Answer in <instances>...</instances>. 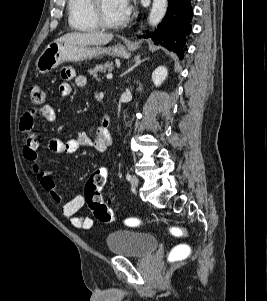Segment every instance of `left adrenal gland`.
I'll return each instance as SVG.
<instances>
[{"mask_svg":"<svg viewBox=\"0 0 267 301\" xmlns=\"http://www.w3.org/2000/svg\"><path fill=\"white\" fill-rule=\"evenodd\" d=\"M146 59H140V55L134 58V62L135 64L130 67L129 69H127L124 73L121 74V77L127 75L128 73H130L135 67H137L138 65H140L142 62H144Z\"/></svg>","mask_w":267,"mask_h":301,"instance_id":"a2214340","label":"left adrenal gland"}]
</instances>
